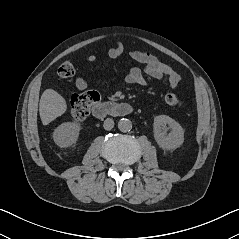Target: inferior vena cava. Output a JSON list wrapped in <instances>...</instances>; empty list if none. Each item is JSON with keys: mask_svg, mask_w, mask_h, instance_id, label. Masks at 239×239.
I'll return each instance as SVG.
<instances>
[{"mask_svg": "<svg viewBox=\"0 0 239 239\" xmlns=\"http://www.w3.org/2000/svg\"><path fill=\"white\" fill-rule=\"evenodd\" d=\"M103 127L105 130H111L114 127V121L111 118H107L104 121Z\"/></svg>", "mask_w": 239, "mask_h": 239, "instance_id": "obj_1", "label": "inferior vena cava"}]
</instances>
